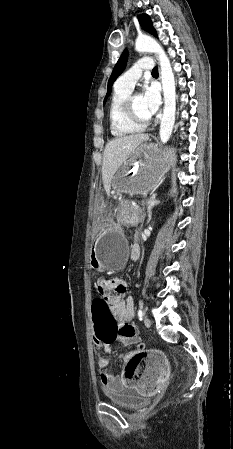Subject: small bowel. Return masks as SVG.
<instances>
[{
  "mask_svg": "<svg viewBox=\"0 0 233 449\" xmlns=\"http://www.w3.org/2000/svg\"><path fill=\"white\" fill-rule=\"evenodd\" d=\"M131 258H135L132 251ZM96 294L101 296V301L108 302L113 319L118 327L119 343L125 346L138 345L141 343L139 330L132 323L134 318V300L132 296H125L127 284L120 278H115L113 274H99L95 280ZM97 334H93L94 354L100 372V379L103 386L107 388L118 387L124 383L133 384V390H141L142 394H155L163 383V377H168L170 364L166 362V355L163 354L162 347H147V361L144 368L139 370V375L119 376L107 368L108 360L103 350L110 349L113 343H105V347H100L96 341Z\"/></svg>",
  "mask_w": 233,
  "mask_h": 449,
  "instance_id": "small-bowel-1",
  "label": "small bowel"
}]
</instances>
